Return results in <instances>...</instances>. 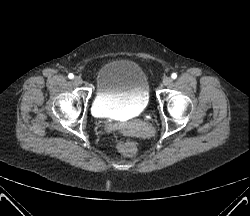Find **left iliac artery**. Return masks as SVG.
<instances>
[{
  "label": "left iliac artery",
  "mask_w": 250,
  "mask_h": 216,
  "mask_svg": "<svg viewBox=\"0 0 250 216\" xmlns=\"http://www.w3.org/2000/svg\"><path fill=\"white\" fill-rule=\"evenodd\" d=\"M171 77H172L173 79H176V78H177V74H176V73H173V74L171 75Z\"/></svg>",
  "instance_id": "left-iliac-artery-1"
}]
</instances>
